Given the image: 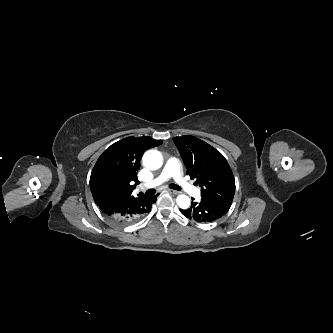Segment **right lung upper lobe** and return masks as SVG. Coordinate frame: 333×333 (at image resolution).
<instances>
[{"label": "right lung upper lobe", "instance_id": "obj_1", "mask_svg": "<svg viewBox=\"0 0 333 333\" xmlns=\"http://www.w3.org/2000/svg\"><path fill=\"white\" fill-rule=\"evenodd\" d=\"M161 143L162 140L148 136L127 137L108 147L98 158L90 176L95 203L98 205L112 198H136L132 191L134 183H139L137 171L141 157L147 149Z\"/></svg>", "mask_w": 333, "mask_h": 333}]
</instances>
